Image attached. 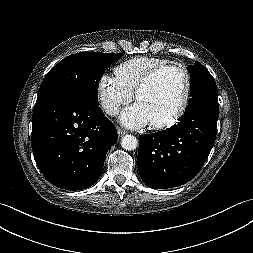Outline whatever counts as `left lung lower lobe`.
<instances>
[{
  "label": "left lung lower lobe",
  "instance_id": "0a47b994",
  "mask_svg": "<svg viewBox=\"0 0 253 253\" xmlns=\"http://www.w3.org/2000/svg\"><path fill=\"white\" fill-rule=\"evenodd\" d=\"M219 105L200 104L167 130L139 136L138 169L150 188L183 185L202 168L216 138Z\"/></svg>",
  "mask_w": 253,
  "mask_h": 253
}]
</instances>
